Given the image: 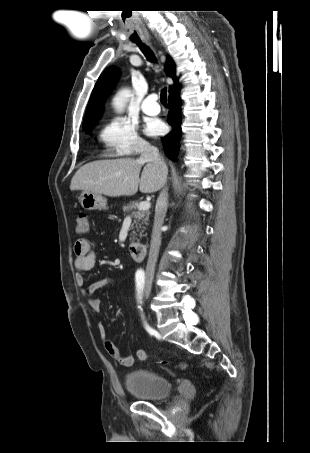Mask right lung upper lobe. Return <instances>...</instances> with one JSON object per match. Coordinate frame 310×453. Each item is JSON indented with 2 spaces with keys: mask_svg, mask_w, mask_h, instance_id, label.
<instances>
[{
  "mask_svg": "<svg viewBox=\"0 0 310 453\" xmlns=\"http://www.w3.org/2000/svg\"><path fill=\"white\" fill-rule=\"evenodd\" d=\"M165 71L167 75L171 76L175 82L177 81L175 77V65L170 57H168ZM118 75L119 69L115 66L107 68L100 75L92 91L86 115L83 121V126L95 125L99 120L102 115L104 100L114 87ZM171 87L172 86H170V88Z\"/></svg>",
  "mask_w": 310,
  "mask_h": 453,
  "instance_id": "cb5924a9",
  "label": "right lung upper lobe"
}]
</instances>
